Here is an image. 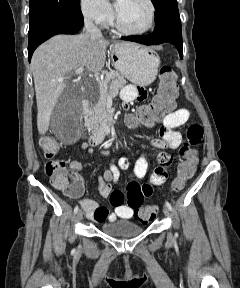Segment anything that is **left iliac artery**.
Wrapping results in <instances>:
<instances>
[{"instance_id":"44dca946","label":"left iliac artery","mask_w":240,"mask_h":288,"mask_svg":"<svg viewBox=\"0 0 240 288\" xmlns=\"http://www.w3.org/2000/svg\"><path fill=\"white\" fill-rule=\"evenodd\" d=\"M165 205L168 207L169 210L172 211V206L168 201L165 202ZM176 236H177V234H176Z\"/></svg>"}]
</instances>
